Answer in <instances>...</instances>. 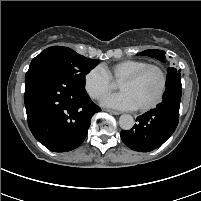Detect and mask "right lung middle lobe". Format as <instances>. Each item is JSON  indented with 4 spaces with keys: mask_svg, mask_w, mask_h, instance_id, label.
<instances>
[{
    "mask_svg": "<svg viewBox=\"0 0 201 201\" xmlns=\"http://www.w3.org/2000/svg\"><path fill=\"white\" fill-rule=\"evenodd\" d=\"M97 59H87L70 48L52 46L42 51L30 64V67L45 64L63 70L72 75L77 83L85 86V75L97 64Z\"/></svg>",
    "mask_w": 201,
    "mask_h": 201,
    "instance_id": "dd1d6c3e",
    "label": "right lung middle lobe"
}]
</instances>
